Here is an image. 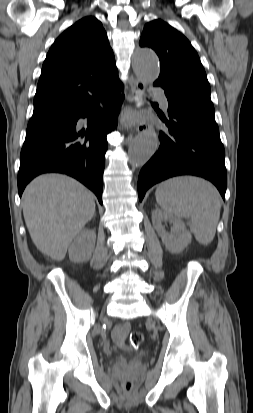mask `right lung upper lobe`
I'll return each instance as SVG.
<instances>
[{"mask_svg": "<svg viewBox=\"0 0 253 413\" xmlns=\"http://www.w3.org/2000/svg\"><path fill=\"white\" fill-rule=\"evenodd\" d=\"M116 74L113 51L101 22L91 16L79 20L55 40L47 54L33 116L66 112L97 97Z\"/></svg>", "mask_w": 253, "mask_h": 413, "instance_id": "cb5924a9", "label": "right lung upper lobe"}]
</instances>
